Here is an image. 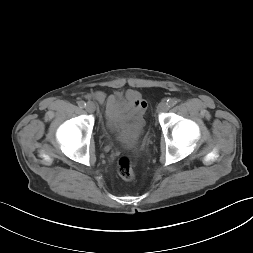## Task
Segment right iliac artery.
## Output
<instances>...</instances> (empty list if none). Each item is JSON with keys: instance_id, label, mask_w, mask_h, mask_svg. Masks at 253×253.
<instances>
[{"instance_id": "1", "label": "right iliac artery", "mask_w": 253, "mask_h": 253, "mask_svg": "<svg viewBox=\"0 0 253 253\" xmlns=\"http://www.w3.org/2000/svg\"><path fill=\"white\" fill-rule=\"evenodd\" d=\"M78 106H79L80 108H84V107L86 106V103H85L84 101H79V102H78Z\"/></svg>"}]
</instances>
